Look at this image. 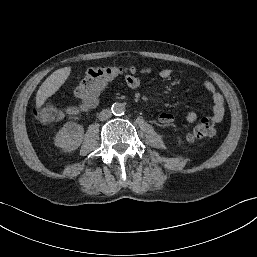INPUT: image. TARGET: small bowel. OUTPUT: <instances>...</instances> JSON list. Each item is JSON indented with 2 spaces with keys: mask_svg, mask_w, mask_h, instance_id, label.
Instances as JSON below:
<instances>
[{
  "mask_svg": "<svg viewBox=\"0 0 257 257\" xmlns=\"http://www.w3.org/2000/svg\"><path fill=\"white\" fill-rule=\"evenodd\" d=\"M173 75L187 76L188 72L182 69L175 68H164L159 72V76L163 79H168ZM126 85L130 88H137L139 86V78L136 72H132L126 76ZM205 90L209 93L212 101V118L215 122H220L223 119L225 108L223 96L219 93L215 85L210 81H205L203 84ZM69 114H73L74 110L70 109ZM186 121L189 123H194L197 120V114L190 111L185 116ZM158 121L162 124L169 125L173 123L174 116L170 112H162L158 116Z\"/></svg>",
  "mask_w": 257,
  "mask_h": 257,
  "instance_id": "obj_1",
  "label": "small bowel"
}]
</instances>
